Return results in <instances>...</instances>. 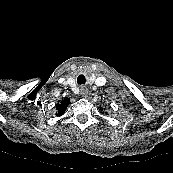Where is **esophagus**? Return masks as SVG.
Segmentation results:
<instances>
[{"label":"esophagus","instance_id":"34e87169","mask_svg":"<svg viewBox=\"0 0 173 173\" xmlns=\"http://www.w3.org/2000/svg\"><path fill=\"white\" fill-rule=\"evenodd\" d=\"M81 95H86L88 93V89L86 87H82L80 89Z\"/></svg>","mask_w":173,"mask_h":173}]
</instances>
